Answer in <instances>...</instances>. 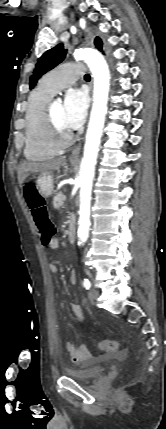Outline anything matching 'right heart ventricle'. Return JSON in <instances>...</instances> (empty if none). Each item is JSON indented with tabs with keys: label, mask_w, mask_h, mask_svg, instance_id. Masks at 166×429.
Wrapping results in <instances>:
<instances>
[{
	"label": "right heart ventricle",
	"mask_w": 166,
	"mask_h": 429,
	"mask_svg": "<svg viewBox=\"0 0 166 429\" xmlns=\"http://www.w3.org/2000/svg\"><path fill=\"white\" fill-rule=\"evenodd\" d=\"M53 95L39 86L29 96L25 113L24 155L30 161H45L56 153L48 141L45 126L46 106Z\"/></svg>",
	"instance_id": "right-heart-ventricle-1"
}]
</instances>
